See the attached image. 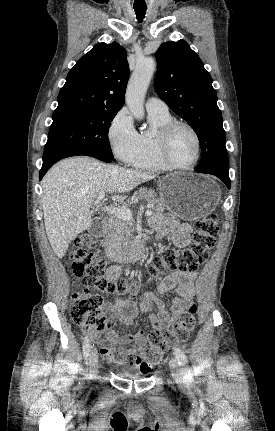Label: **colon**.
Segmentation results:
<instances>
[{"instance_id": "5ec220e1", "label": "colon", "mask_w": 275, "mask_h": 431, "mask_svg": "<svg viewBox=\"0 0 275 431\" xmlns=\"http://www.w3.org/2000/svg\"><path fill=\"white\" fill-rule=\"evenodd\" d=\"M217 233L218 219L215 215L198 219L190 246L184 249H165L148 265V274L152 278H160L172 272H195L214 246ZM95 249V236L83 233L74 240L71 253L73 273L83 280L85 289L72 295L70 316L89 335L103 331L106 327L107 317L101 293L135 295L138 291V284L133 278L109 280L105 274L106 259ZM92 290L99 293H93ZM196 312V306L192 304L171 327L152 330L148 334L145 351L142 355L133 357L142 372L151 371L159 364L164 353L188 339L195 327Z\"/></svg>"}]
</instances>
